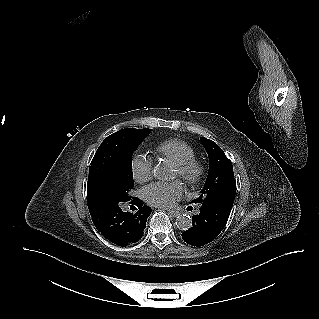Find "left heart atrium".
<instances>
[{"label": "left heart atrium", "mask_w": 319, "mask_h": 319, "mask_svg": "<svg viewBox=\"0 0 319 319\" xmlns=\"http://www.w3.org/2000/svg\"><path fill=\"white\" fill-rule=\"evenodd\" d=\"M183 195L181 182H155L143 189L145 200L151 205L168 208Z\"/></svg>", "instance_id": "left-heart-atrium-1"}]
</instances>
